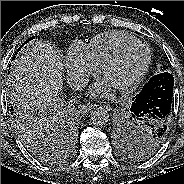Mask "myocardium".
<instances>
[{
	"instance_id": "1",
	"label": "myocardium",
	"mask_w": 184,
	"mask_h": 184,
	"mask_svg": "<svg viewBox=\"0 0 184 184\" xmlns=\"http://www.w3.org/2000/svg\"><path fill=\"white\" fill-rule=\"evenodd\" d=\"M134 47H143L144 49H146L147 56L139 72L130 81L121 86L115 87V89L120 92L125 93L132 91L143 80L151 64L152 52L150 47L146 43L141 42L140 40H135L133 42L126 43L119 47L107 59H105V61L100 66V73L103 75V73L110 65L114 64L125 52Z\"/></svg>"
}]
</instances>
